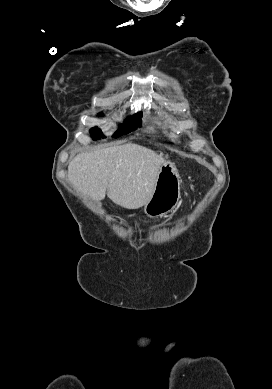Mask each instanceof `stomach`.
Masks as SVG:
<instances>
[{"label":"stomach","mask_w":272,"mask_h":389,"mask_svg":"<svg viewBox=\"0 0 272 389\" xmlns=\"http://www.w3.org/2000/svg\"><path fill=\"white\" fill-rule=\"evenodd\" d=\"M180 200V176L176 166L167 161L160 167L151 198L144 206L148 217H162L171 212Z\"/></svg>","instance_id":"stomach-1"}]
</instances>
